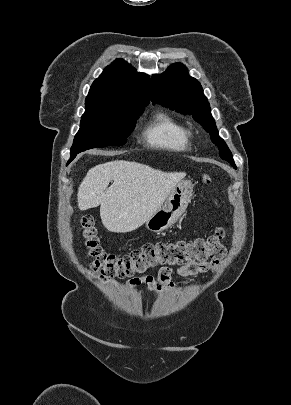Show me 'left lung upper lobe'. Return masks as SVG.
Instances as JSON below:
<instances>
[{"mask_svg": "<svg viewBox=\"0 0 291 405\" xmlns=\"http://www.w3.org/2000/svg\"><path fill=\"white\" fill-rule=\"evenodd\" d=\"M152 102L181 114L192 115L211 135L212 142L218 146L220 157L235 167L232 153L218 135L202 86L195 78L189 76L183 64H173L166 72L152 76Z\"/></svg>", "mask_w": 291, "mask_h": 405, "instance_id": "5c2ea615", "label": "left lung upper lobe"}]
</instances>
